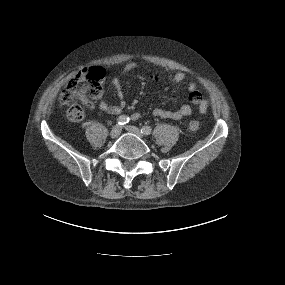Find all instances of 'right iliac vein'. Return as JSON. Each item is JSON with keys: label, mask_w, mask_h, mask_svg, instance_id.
Returning <instances> with one entry per match:
<instances>
[{"label": "right iliac vein", "mask_w": 285, "mask_h": 285, "mask_svg": "<svg viewBox=\"0 0 285 285\" xmlns=\"http://www.w3.org/2000/svg\"><path fill=\"white\" fill-rule=\"evenodd\" d=\"M121 130L122 129L120 125H115L110 132L111 138H117L120 135Z\"/></svg>", "instance_id": "1"}]
</instances>
